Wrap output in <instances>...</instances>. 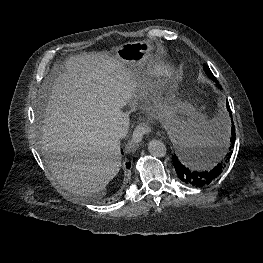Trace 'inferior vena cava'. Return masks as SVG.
<instances>
[{
    "instance_id": "1",
    "label": "inferior vena cava",
    "mask_w": 263,
    "mask_h": 263,
    "mask_svg": "<svg viewBox=\"0 0 263 263\" xmlns=\"http://www.w3.org/2000/svg\"><path fill=\"white\" fill-rule=\"evenodd\" d=\"M129 119L127 116L115 118L109 125V135L115 139H123L128 134Z\"/></svg>"
}]
</instances>
